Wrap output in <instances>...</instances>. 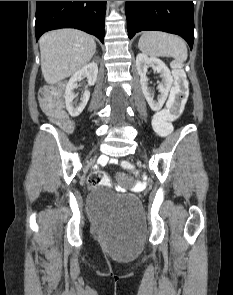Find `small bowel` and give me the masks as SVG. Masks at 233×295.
Listing matches in <instances>:
<instances>
[{"instance_id": "c3829d8e", "label": "small bowel", "mask_w": 233, "mask_h": 295, "mask_svg": "<svg viewBox=\"0 0 233 295\" xmlns=\"http://www.w3.org/2000/svg\"><path fill=\"white\" fill-rule=\"evenodd\" d=\"M109 162H110V163H116L117 160H116V159H110ZM117 191H119V192H123V191H124V188L118 186V187H117Z\"/></svg>"}]
</instances>
